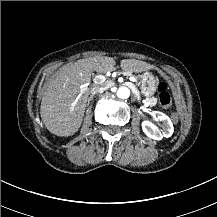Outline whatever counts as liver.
<instances>
[{
	"instance_id": "obj_1",
	"label": "liver",
	"mask_w": 217,
	"mask_h": 217,
	"mask_svg": "<svg viewBox=\"0 0 217 217\" xmlns=\"http://www.w3.org/2000/svg\"><path fill=\"white\" fill-rule=\"evenodd\" d=\"M115 65L113 58L102 56L80 59L60 68L49 80L41 98L40 117L45 128L58 137L74 135L82 125L92 73L114 71ZM120 68L126 73L139 74L155 70L156 66L141 60L122 59Z\"/></svg>"
}]
</instances>
